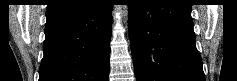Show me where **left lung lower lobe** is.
Segmentation results:
<instances>
[{
	"label": "left lung lower lobe",
	"mask_w": 237,
	"mask_h": 81,
	"mask_svg": "<svg viewBox=\"0 0 237 81\" xmlns=\"http://www.w3.org/2000/svg\"><path fill=\"white\" fill-rule=\"evenodd\" d=\"M129 35L137 81H205L186 0H133Z\"/></svg>",
	"instance_id": "0a47b994"
}]
</instances>
